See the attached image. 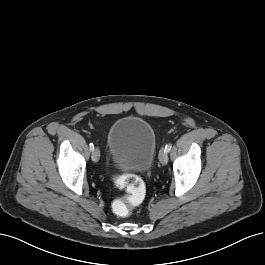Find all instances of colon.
<instances>
[{"label": "colon", "mask_w": 265, "mask_h": 265, "mask_svg": "<svg viewBox=\"0 0 265 265\" xmlns=\"http://www.w3.org/2000/svg\"><path fill=\"white\" fill-rule=\"evenodd\" d=\"M117 187L125 189L128 193L126 200L115 204V212L120 217L128 216L132 209L144 199L145 188L142 180L135 174H126L115 180Z\"/></svg>", "instance_id": "1"}]
</instances>
